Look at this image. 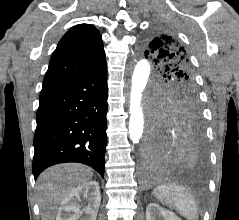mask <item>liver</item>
<instances>
[{"mask_svg":"<svg viewBox=\"0 0 239 220\" xmlns=\"http://www.w3.org/2000/svg\"><path fill=\"white\" fill-rule=\"evenodd\" d=\"M92 176L89 167L74 163L55 165L41 173L36 184L41 219L54 220L63 199Z\"/></svg>","mask_w":239,"mask_h":220,"instance_id":"1","label":"liver"}]
</instances>
